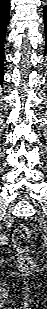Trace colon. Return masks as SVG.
<instances>
[{
	"instance_id": "5ec220e1",
	"label": "colon",
	"mask_w": 47,
	"mask_h": 309,
	"mask_svg": "<svg viewBox=\"0 0 47 309\" xmlns=\"http://www.w3.org/2000/svg\"><path fill=\"white\" fill-rule=\"evenodd\" d=\"M13 244L17 252V264L24 271L32 270L35 266L34 259L29 255L34 243L30 229L21 225L13 232Z\"/></svg>"
}]
</instances>
